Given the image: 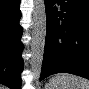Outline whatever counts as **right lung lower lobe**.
I'll return each instance as SVG.
<instances>
[{"mask_svg": "<svg viewBox=\"0 0 89 89\" xmlns=\"http://www.w3.org/2000/svg\"><path fill=\"white\" fill-rule=\"evenodd\" d=\"M19 5L20 0H0V83L11 89H21L23 70Z\"/></svg>", "mask_w": 89, "mask_h": 89, "instance_id": "1", "label": "right lung lower lobe"}]
</instances>
